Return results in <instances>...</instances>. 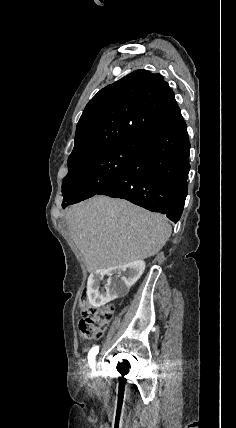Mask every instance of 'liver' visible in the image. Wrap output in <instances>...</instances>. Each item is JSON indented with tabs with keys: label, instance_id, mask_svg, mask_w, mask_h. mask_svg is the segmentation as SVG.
Wrapping results in <instances>:
<instances>
[{
	"label": "liver",
	"instance_id": "6515ba94",
	"mask_svg": "<svg viewBox=\"0 0 236 428\" xmlns=\"http://www.w3.org/2000/svg\"><path fill=\"white\" fill-rule=\"evenodd\" d=\"M66 220L88 272L151 258L172 234L165 216L107 196L70 206Z\"/></svg>",
	"mask_w": 236,
	"mask_h": 428
}]
</instances>
